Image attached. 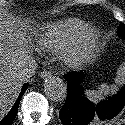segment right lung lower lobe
I'll return each mask as SVG.
<instances>
[{"label":"right lung lower lobe","instance_id":"obj_1","mask_svg":"<svg viewBox=\"0 0 125 125\" xmlns=\"http://www.w3.org/2000/svg\"><path fill=\"white\" fill-rule=\"evenodd\" d=\"M27 87H28V84H25L22 87L19 97L17 98L16 102L14 103V105L11 108V110L9 111V113L0 121V125H11L13 123V121L17 115L20 100H21L25 90L27 89Z\"/></svg>","mask_w":125,"mask_h":125}]
</instances>
